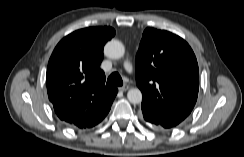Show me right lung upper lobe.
<instances>
[{"instance_id": "cb5924a9", "label": "right lung upper lobe", "mask_w": 244, "mask_h": 157, "mask_svg": "<svg viewBox=\"0 0 244 157\" xmlns=\"http://www.w3.org/2000/svg\"><path fill=\"white\" fill-rule=\"evenodd\" d=\"M114 35L111 27L77 30L58 43L49 59V100L57 116L72 127L91 128L111 108L117 89L105 86L99 66L104 44Z\"/></svg>"}]
</instances>
